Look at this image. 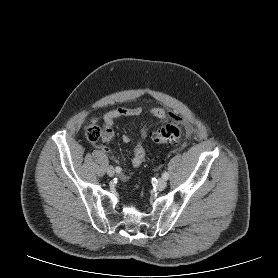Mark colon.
I'll return each instance as SVG.
<instances>
[{
    "instance_id": "obj_1",
    "label": "colon",
    "mask_w": 278,
    "mask_h": 278,
    "mask_svg": "<svg viewBox=\"0 0 278 278\" xmlns=\"http://www.w3.org/2000/svg\"><path fill=\"white\" fill-rule=\"evenodd\" d=\"M175 122L167 123L151 133V139L157 144L177 142L182 137V129L179 118H173ZM86 137L91 143H96L101 137V129L96 122H91L86 129Z\"/></svg>"
}]
</instances>
